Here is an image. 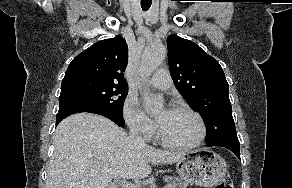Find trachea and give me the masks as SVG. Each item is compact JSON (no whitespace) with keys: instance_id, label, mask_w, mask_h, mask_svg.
<instances>
[{"instance_id":"3493384b","label":"trachea","mask_w":292,"mask_h":188,"mask_svg":"<svg viewBox=\"0 0 292 188\" xmlns=\"http://www.w3.org/2000/svg\"><path fill=\"white\" fill-rule=\"evenodd\" d=\"M151 7V3H141V8L143 11H147Z\"/></svg>"}]
</instances>
